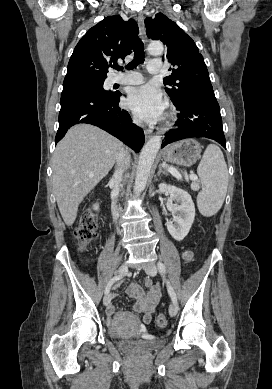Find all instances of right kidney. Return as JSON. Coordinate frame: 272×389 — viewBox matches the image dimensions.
<instances>
[{
	"mask_svg": "<svg viewBox=\"0 0 272 389\" xmlns=\"http://www.w3.org/2000/svg\"><path fill=\"white\" fill-rule=\"evenodd\" d=\"M98 209H99V205L98 204L94 205V210H98Z\"/></svg>",
	"mask_w": 272,
	"mask_h": 389,
	"instance_id": "right-kidney-1",
	"label": "right kidney"
}]
</instances>
